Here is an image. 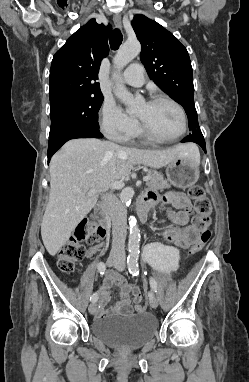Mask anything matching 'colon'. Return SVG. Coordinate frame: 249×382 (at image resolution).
Returning a JSON list of instances; mask_svg holds the SVG:
<instances>
[{
    "label": "colon",
    "mask_w": 249,
    "mask_h": 382,
    "mask_svg": "<svg viewBox=\"0 0 249 382\" xmlns=\"http://www.w3.org/2000/svg\"><path fill=\"white\" fill-rule=\"evenodd\" d=\"M189 197L194 201L196 216L195 227L200 231L199 238L191 245L189 253L194 255L200 252L210 241L212 223V204L200 185H193L188 190ZM103 232L101 228L90 219H82L73 235L63 244L58 252V268L62 273H72L75 265L85 257L84 242L94 243ZM136 310L142 312L145 305L141 303V296L134 295Z\"/></svg>",
    "instance_id": "5ec220e1"
}]
</instances>
